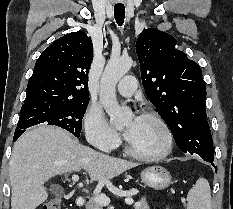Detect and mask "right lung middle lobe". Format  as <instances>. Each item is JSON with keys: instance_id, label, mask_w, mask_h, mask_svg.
I'll return each mask as SVG.
<instances>
[{"instance_id": "dd1d6c3e", "label": "right lung middle lobe", "mask_w": 233, "mask_h": 209, "mask_svg": "<svg viewBox=\"0 0 233 209\" xmlns=\"http://www.w3.org/2000/svg\"><path fill=\"white\" fill-rule=\"evenodd\" d=\"M89 100L74 102H37L23 104L15 133L37 124L55 125L80 136L82 119Z\"/></svg>"}]
</instances>
